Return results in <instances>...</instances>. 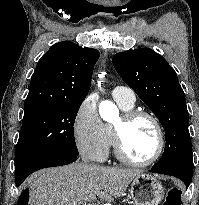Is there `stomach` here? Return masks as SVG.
Instances as JSON below:
<instances>
[{
	"instance_id": "0dacf381",
	"label": "stomach",
	"mask_w": 199,
	"mask_h": 205,
	"mask_svg": "<svg viewBox=\"0 0 199 205\" xmlns=\"http://www.w3.org/2000/svg\"><path fill=\"white\" fill-rule=\"evenodd\" d=\"M165 195V188L156 178L138 174L131 181L129 198L134 205H158Z\"/></svg>"
}]
</instances>
